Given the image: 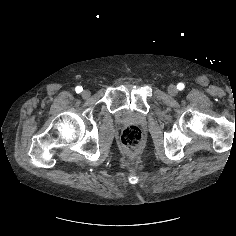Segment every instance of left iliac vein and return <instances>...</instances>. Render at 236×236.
<instances>
[{"label":"left iliac vein","mask_w":236,"mask_h":236,"mask_svg":"<svg viewBox=\"0 0 236 236\" xmlns=\"http://www.w3.org/2000/svg\"><path fill=\"white\" fill-rule=\"evenodd\" d=\"M168 93H169L170 95H176V94L178 93L177 87H176L175 85H173V84L169 85V87H168Z\"/></svg>","instance_id":"4c4485c4"}]
</instances>
